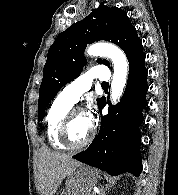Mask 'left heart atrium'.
Instances as JSON below:
<instances>
[{
  "label": "left heart atrium",
  "instance_id": "1",
  "mask_svg": "<svg viewBox=\"0 0 178 195\" xmlns=\"http://www.w3.org/2000/svg\"><path fill=\"white\" fill-rule=\"evenodd\" d=\"M86 117L88 122L93 125L94 119H95V112L93 110H90L89 112L86 113Z\"/></svg>",
  "mask_w": 178,
  "mask_h": 195
}]
</instances>
